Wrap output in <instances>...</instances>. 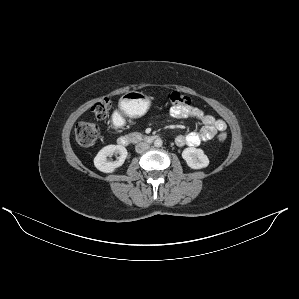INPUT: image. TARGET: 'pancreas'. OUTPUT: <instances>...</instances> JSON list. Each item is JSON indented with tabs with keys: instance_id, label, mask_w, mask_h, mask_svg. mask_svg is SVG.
Here are the masks:
<instances>
[{
	"instance_id": "cf45deb5",
	"label": "pancreas",
	"mask_w": 299,
	"mask_h": 299,
	"mask_svg": "<svg viewBox=\"0 0 299 299\" xmlns=\"http://www.w3.org/2000/svg\"><path fill=\"white\" fill-rule=\"evenodd\" d=\"M131 136L133 137V140L136 141L142 137V134L138 132H134L131 134Z\"/></svg>"
}]
</instances>
